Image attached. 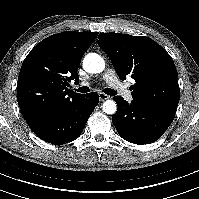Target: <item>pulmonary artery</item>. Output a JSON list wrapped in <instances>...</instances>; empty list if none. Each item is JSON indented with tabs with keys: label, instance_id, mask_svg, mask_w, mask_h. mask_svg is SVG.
Returning a JSON list of instances; mask_svg holds the SVG:
<instances>
[{
	"label": "pulmonary artery",
	"instance_id": "pulmonary-artery-1",
	"mask_svg": "<svg viewBox=\"0 0 199 199\" xmlns=\"http://www.w3.org/2000/svg\"><path fill=\"white\" fill-rule=\"evenodd\" d=\"M101 81L106 82L109 86L116 91V93L122 95L128 101L133 99L131 92L128 90L125 83L121 82L118 77L117 73L113 68L107 69L104 74L101 76ZM89 83L83 82L81 86H88Z\"/></svg>",
	"mask_w": 199,
	"mask_h": 199
}]
</instances>
